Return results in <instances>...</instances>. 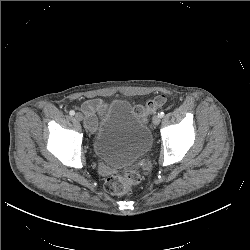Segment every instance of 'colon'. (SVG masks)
Here are the masks:
<instances>
[{"instance_id":"1","label":"colon","mask_w":250,"mask_h":250,"mask_svg":"<svg viewBox=\"0 0 250 250\" xmlns=\"http://www.w3.org/2000/svg\"><path fill=\"white\" fill-rule=\"evenodd\" d=\"M165 98L156 96L147 100L144 104L136 107V112L145 117L163 106ZM140 174L133 169H126L120 173L112 175L106 180L105 188L111 194L122 195L135 187L140 182Z\"/></svg>"}]
</instances>
